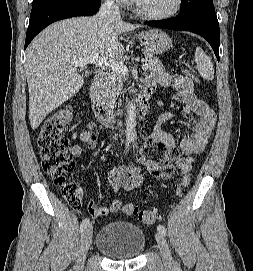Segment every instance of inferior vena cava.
I'll list each match as a JSON object with an SVG mask.
<instances>
[{"label":"inferior vena cava","instance_id":"602c4592","mask_svg":"<svg viewBox=\"0 0 253 271\" xmlns=\"http://www.w3.org/2000/svg\"><path fill=\"white\" fill-rule=\"evenodd\" d=\"M97 18L105 23H112L114 21L120 20L119 6L115 3V0H104L101 5L99 12L97 13ZM110 118L114 117L113 107L109 110ZM113 130L114 127L111 126Z\"/></svg>","mask_w":253,"mask_h":271}]
</instances>
